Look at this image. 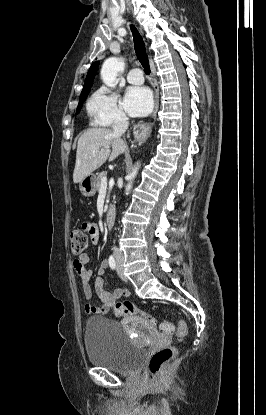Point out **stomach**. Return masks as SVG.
Segmentation results:
<instances>
[{
    "mask_svg": "<svg viewBox=\"0 0 266 415\" xmlns=\"http://www.w3.org/2000/svg\"><path fill=\"white\" fill-rule=\"evenodd\" d=\"M96 177L93 174H90L83 178V180L80 182V191L83 196L85 197H91L94 196L96 192Z\"/></svg>",
    "mask_w": 266,
    "mask_h": 415,
    "instance_id": "1",
    "label": "stomach"
}]
</instances>
